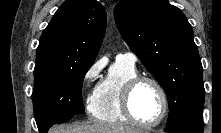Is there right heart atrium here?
I'll return each instance as SVG.
<instances>
[{
	"instance_id": "right-heart-atrium-1",
	"label": "right heart atrium",
	"mask_w": 221,
	"mask_h": 133,
	"mask_svg": "<svg viewBox=\"0 0 221 133\" xmlns=\"http://www.w3.org/2000/svg\"><path fill=\"white\" fill-rule=\"evenodd\" d=\"M101 70V65L98 62L93 63L84 73L82 78V91L88 90L93 82L98 77ZM93 94L89 95L88 97V105L90 107L91 100H92Z\"/></svg>"
}]
</instances>
